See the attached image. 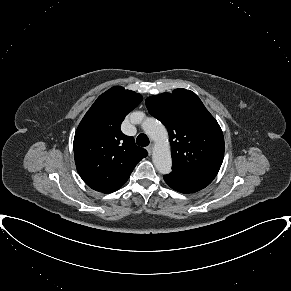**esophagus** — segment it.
Listing matches in <instances>:
<instances>
[{"mask_svg": "<svg viewBox=\"0 0 291 291\" xmlns=\"http://www.w3.org/2000/svg\"><path fill=\"white\" fill-rule=\"evenodd\" d=\"M152 150H153V144H150V145L147 147V151H148L149 155H151Z\"/></svg>", "mask_w": 291, "mask_h": 291, "instance_id": "1", "label": "esophagus"}]
</instances>
